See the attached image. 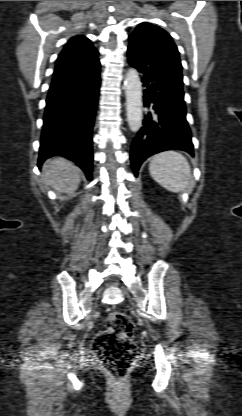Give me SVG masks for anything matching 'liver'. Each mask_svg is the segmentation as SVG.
<instances>
[{
  "instance_id": "liver-1",
  "label": "liver",
  "mask_w": 242,
  "mask_h": 416,
  "mask_svg": "<svg viewBox=\"0 0 242 416\" xmlns=\"http://www.w3.org/2000/svg\"><path fill=\"white\" fill-rule=\"evenodd\" d=\"M42 177L57 193L71 196L80 184L81 170L70 160L57 157L46 161Z\"/></svg>"
}]
</instances>
